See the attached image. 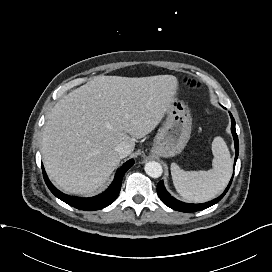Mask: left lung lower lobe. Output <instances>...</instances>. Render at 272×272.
I'll return each mask as SVG.
<instances>
[{"label": "left lung lower lobe", "instance_id": "0a47b994", "mask_svg": "<svg viewBox=\"0 0 272 272\" xmlns=\"http://www.w3.org/2000/svg\"><path fill=\"white\" fill-rule=\"evenodd\" d=\"M230 117H231V123H232L231 131H232V134H233V138H234V142H235V150H236L235 162H234V166H235L236 160L238 158L239 143H238V136H237L236 130H235V120H234L231 113H230ZM232 179H233V177H232ZM232 179H231L229 185L227 186V188L225 189L223 194H221L218 198H216V199H214L212 201L203 203V204H187V203L176 200L174 197H172L167 192V190L164 187L163 181H160L158 183L157 193H158L159 198L168 207H170V208H172L174 210H177V211H181V212H195V211L206 209V208L216 204L217 202H219L224 197L226 192L228 191V189H229V187L231 185Z\"/></svg>", "mask_w": 272, "mask_h": 272}]
</instances>
